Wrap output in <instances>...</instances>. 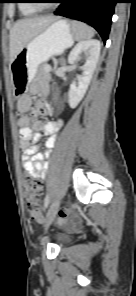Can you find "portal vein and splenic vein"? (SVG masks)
<instances>
[{"instance_id": "1", "label": "portal vein and splenic vein", "mask_w": 136, "mask_h": 296, "mask_svg": "<svg viewBox=\"0 0 136 296\" xmlns=\"http://www.w3.org/2000/svg\"><path fill=\"white\" fill-rule=\"evenodd\" d=\"M50 70H51V68L49 67V68H48V71H50Z\"/></svg>"}]
</instances>
